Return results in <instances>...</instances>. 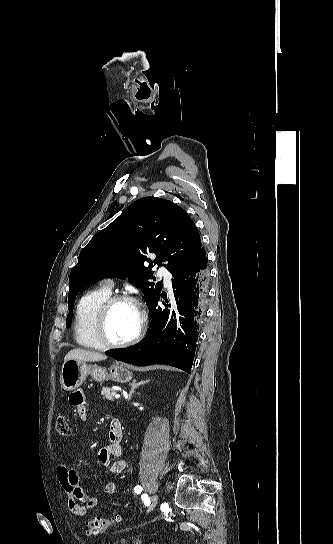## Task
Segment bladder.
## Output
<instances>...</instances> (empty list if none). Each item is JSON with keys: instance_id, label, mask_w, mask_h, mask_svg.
Returning a JSON list of instances; mask_svg holds the SVG:
<instances>
[{"instance_id": "1", "label": "bladder", "mask_w": 333, "mask_h": 544, "mask_svg": "<svg viewBox=\"0 0 333 544\" xmlns=\"http://www.w3.org/2000/svg\"><path fill=\"white\" fill-rule=\"evenodd\" d=\"M125 544H144L141 540H134L131 543H125ZM150 544H157V543H150Z\"/></svg>"}]
</instances>
